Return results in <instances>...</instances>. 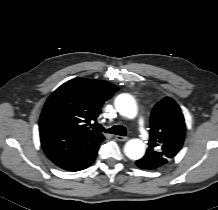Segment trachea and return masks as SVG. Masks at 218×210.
Masks as SVG:
<instances>
[{"label":"trachea","mask_w":218,"mask_h":210,"mask_svg":"<svg viewBox=\"0 0 218 210\" xmlns=\"http://www.w3.org/2000/svg\"><path fill=\"white\" fill-rule=\"evenodd\" d=\"M98 129H100L103 132L106 133H111V134H116V135H120V136H126V128L122 125H116L113 126L112 128L109 129H105L102 125L100 124H96L95 125Z\"/></svg>","instance_id":"obj_1"}]
</instances>
